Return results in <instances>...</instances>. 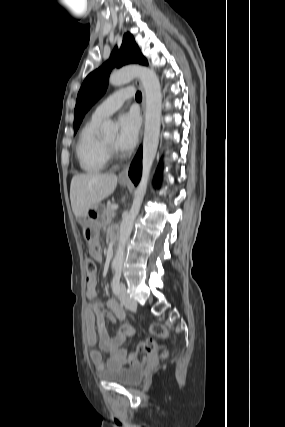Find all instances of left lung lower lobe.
I'll return each instance as SVG.
<instances>
[{"label":"left lung lower lobe","mask_w":285,"mask_h":427,"mask_svg":"<svg viewBox=\"0 0 285 427\" xmlns=\"http://www.w3.org/2000/svg\"><path fill=\"white\" fill-rule=\"evenodd\" d=\"M141 171H142V148L139 149L129 170V177L131 178V180L135 185H137L140 180ZM161 172H162V166L161 164H159L157 174H156L157 180L159 179Z\"/></svg>","instance_id":"left-lung-lower-lobe-1"}]
</instances>
